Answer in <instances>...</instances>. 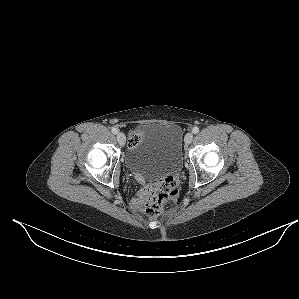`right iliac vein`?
Returning a JSON list of instances; mask_svg holds the SVG:
<instances>
[{
    "label": "right iliac vein",
    "mask_w": 299,
    "mask_h": 299,
    "mask_svg": "<svg viewBox=\"0 0 299 299\" xmlns=\"http://www.w3.org/2000/svg\"><path fill=\"white\" fill-rule=\"evenodd\" d=\"M117 141L121 146H124L126 138L122 132L117 133Z\"/></svg>",
    "instance_id": "63e3f726"
}]
</instances>
